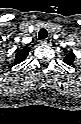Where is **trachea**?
I'll return each instance as SVG.
<instances>
[{
	"mask_svg": "<svg viewBox=\"0 0 81 124\" xmlns=\"http://www.w3.org/2000/svg\"><path fill=\"white\" fill-rule=\"evenodd\" d=\"M47 36H48V32H47V30L44 29V28H42V29L39 31V33H38L39 39H45V38H47Z\"/></svg>",
	"mask_w": 81,
	"mask_h": 124,
	"instance_id": "3493384b",
	"label": "trachea"
}]
</instances>
